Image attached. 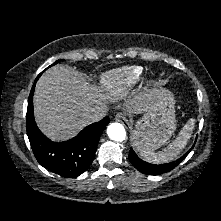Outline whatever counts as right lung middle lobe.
I'll list each match as a JSON object with an SVG mask.
<instances>
[{
  "label": "right lung middle lobe",
  "instance_id": "1",
  "mask_svg": "<svg viewBox=\"0 0 221 221\" xmlns=\"http://www.w3.org/2000/svg\"><path fill=\"white\" fill-rule=\"evenodd\" d=\"M58 63V61H56L55 63H53L51 66H53V65H55V64H57Z\"/></svg>",
  "mask_w": 221,
  "mask_h": 221
}]
</instances>
